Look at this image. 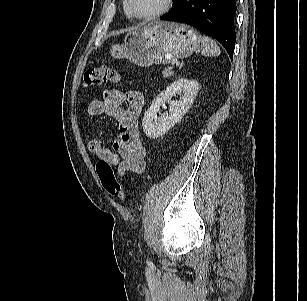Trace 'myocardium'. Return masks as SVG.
Returning a JSON list of instances; mask_svg holds the SVG:
<instances>
[{"label":"myocardium","instance_id":"myocardium-1","mask_svg":"<svg viewBox=\"0 0 307 301\" xmlns=\"http://www.w3.org/2000/svg\"><path fill=\"white\" fill-rule=\"evenodd\" d=\"M125 1H126L127 9L133 18H136L139 20H146V21L154 20V19H157L163 16L171 9L172 4H173V0H165L163 7L159 9L158 11L148 14V15H142L135 11L132 5V0H125Z\"/></svg>","mask_w":307,"mask_h":301}]
</instances>
